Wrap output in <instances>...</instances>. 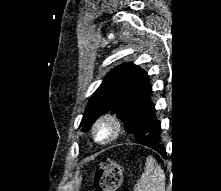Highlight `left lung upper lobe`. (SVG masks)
<instances>
[{
    "label": "left lung upper lobe",
    "mask_w": 221,
    "mask_h": 191,
    "mask_svg": "<svg viewBox=\"0 0 221 191\" xmlns=\"http://www.w3.org/2000/svg\"><path fill=\"white\" fill-rule=\"evenodd\" d=\"M138 68L133 63H125L116 66L105 76L86 106L80 123L83 131H87L103 113H116L124 122L127 132L133 133L135 143L150 145L134 130V119L131 113L132 86Z\"/></svg>",
    "instance_id": "obj_1"
}]
</instances>
